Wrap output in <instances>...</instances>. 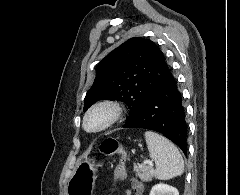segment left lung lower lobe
Listing matches in <instances>:
<instances>
[{
    "instance_id": "1",
    "label": "left lung lower lobe",
    "mask_w": 240,
    "mask_h": 195,
    "mask_svg": "<svg viewBox=\"0 0 240 195\" xmlns=\"http://www.w3.org/2000/svg\"><path fill=\"white\" fill-rule=\"evenodd\" d=\"M123 127L157 131L172 140L186 154L185 110L181 93L170 70L165 80L148 97L139 112Z\"/></svg>"
}]
</instances>
